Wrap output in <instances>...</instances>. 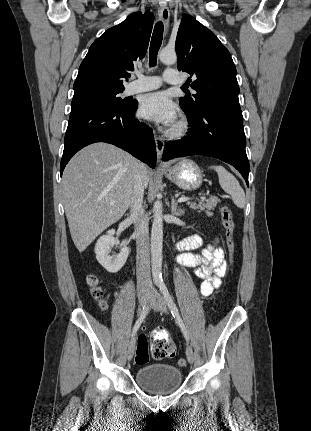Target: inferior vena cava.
Listing matches in <instances>:
<instances>
[{"label":"inferior vena cava","mask_w":311,"mask_h":431,"mask_svg":"<svg viewBox=\"0 0 311 431\" xmlns=\"http://www.w3.org/2000/svg\"><path fill=\"white\" fill-rule=\"evenodd\" d=\"M145 184L138 170L135 174L133 194L131 196L130 216L134 221L137 257H136V275H137V293L138 295H147L152 287L150 273V249H149V229L148 221L144 216L143 198Z\"/></svg>","instance_id":"1"}]
</instances>
